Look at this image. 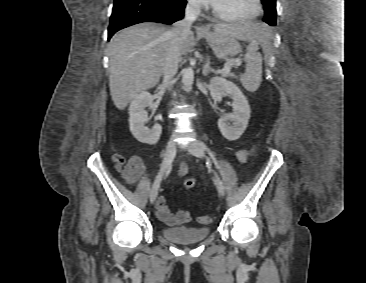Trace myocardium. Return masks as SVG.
<instances>
[{
	"mask_svg": "<svg viewBox=\"0 0 366 283\" xmlns=\"http://www.w3.org/2000/svg\"><path fill=\"white\" fill-rule=\"evenodd\" d=\"M254 4H255L254 11L251 14L246 15V16L226 15V14L218 11L216 9V7L214 6V4L212 5V13L218 20L223 21V22H246V21H250V20L257 18L262 13V10H263L262 0H254Z\"/></svg>",
	"mask_w": 366,
	"mask_h": 283,
	"instance_id": "1",
	"label": "myocardium"
}]
</instances>
